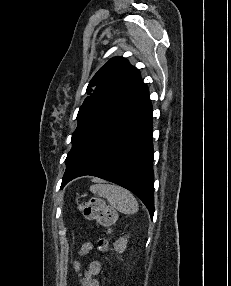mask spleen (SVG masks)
<instances>
[{"mask_svg":"<svg viewBox=\"0 0 231 286\" xmlns=\"http://www.w3.org/2000/svg\"><path fill=\"white\" fill-rule=\"evenodd\" d=\"M90 191L106 198L108 203L121 213L130 215L138 211L139 205L133 194L123 187L111 184H94Z\"/></svg>","mask_w":231,"mask_h":286,"instance_id":"3e777b00","label":"spleen"}]
</instances>
